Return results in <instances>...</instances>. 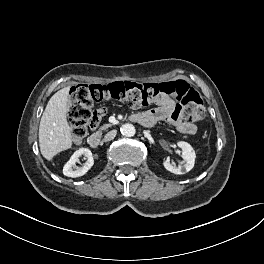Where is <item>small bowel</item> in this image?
Masks as SVG:
<instances>
[{
    "label": "small bowel",
    "mask_w": 264,
    "mask_h": 264,
    "mask_svg": "<svg viewBox=\"0 0 264 264\" xmlns=\"http://www.w3.org/2000/svg\"><path fill=\"white\" fill-rule=\"evenodd\" d=\"M156 104L158 105L156 108L148 110L143 114L136 115L147 119L152 124L167 120L173 124L179 132L186 135H193L196 133V125L192 122L183 120L180 106L173 98H163L156 102Z\"/></svg>",
    "instance_id": "c3829d8e"
}]
</instances>
